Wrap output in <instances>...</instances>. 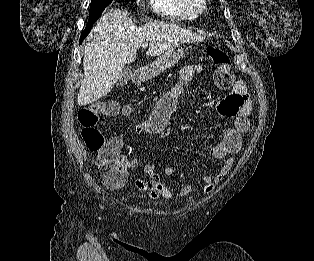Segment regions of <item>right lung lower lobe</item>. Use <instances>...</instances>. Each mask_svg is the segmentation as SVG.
Instances as JSON below:
<instances>
[{"label":"right lung lower lobe","mask_w":314,"mask_h":261,"mask_svg":"<svg viewBox=\"0 0 314 261\" xmlns=\"http://www.w3.org/2000/svg\"><path fill=\"white\" fill-rule=\"evenodd\" d=\"M92 25H87L85 30L81 33V38H80V43L84 40V38L89 34V32L91 31Z\"/></svg>","instance_id":"right-lung-lower-lobe-1"}]
</instances>
